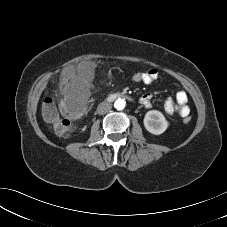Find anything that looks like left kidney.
I'll list each match as a JSON object with an SVG mask.
<instances>
[{
	"instance_id": "5707ae66",
	"label": "left kidney",
	"mask_w": 227,
	"mask_h": 227,
	"mask_svg": "<svg viewBox=\"0 0 227 227\" xmlns=\"http://www.w3.org/2000/svg\"><path fill=\"white\" fill-rule=\"evenodd\" d=\"M146 130L154 135H160L168 128L165 116L158 110L148 111L143 120Z\"/></svg>"
}]
</instances>
